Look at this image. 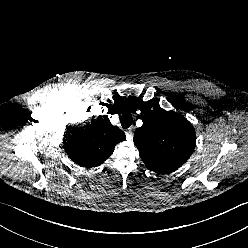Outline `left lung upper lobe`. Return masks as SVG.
Listing matches in <instances>:
<instances>
[{"instance_id":"left-lung-upper-lobe-1","label":"left lung upper lobe","mask_w":248,"mask_h":248,"mask_svg":"<svg viewBox=\"0 0 248 248\" xmlns=\"http://www.w3.org/2000/svg\"><path fill=\"white\" fill-rule=\"evenodd\" d=\"M195 131L182 115L156 107L143 116L134 143L148 169L167 174L181 167L195 147Z\"/></svg>"}]
</instances>
